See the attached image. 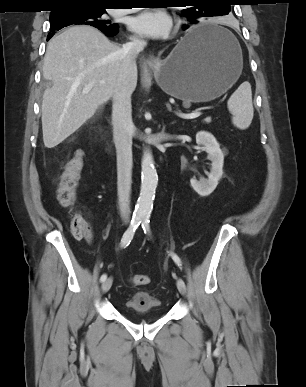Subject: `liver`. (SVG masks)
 <instances>
[{"instance_id": "obj_1", "label": "liver", "mask_w": 306, "mask_h": 387, "mask_svg": "<svg viewBox=\"0 0 306 387\" xmlns=\"http://www.w3.org/2000/svg\"><path fill=\"white\" fill-rule=\"evenodd\" d=\"M121 65V48L96 28L73 26L49 41L43 77L52 86L45 90L41 107L45 147L62 143L113 96ZM90 82L93 86L83 93ZM131 84L135 89L136 61Z\"/></svg>"}]
</instances>
